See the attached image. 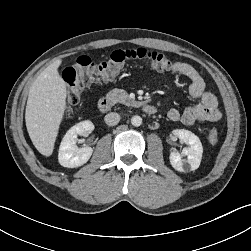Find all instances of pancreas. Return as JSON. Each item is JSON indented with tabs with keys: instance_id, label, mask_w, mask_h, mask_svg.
Wrapping results in <instances>:
<instances>
[{
	"instance_id": "cf45deb5",
	"label": "pancreas",
	"mask_w": 251,
	"mask_h": 251,
	"mask_svg": "<svg viewBox=\"0 0 251 251\" xmlns=\"http://www.w3.org/2000/svg\"><path fill=\"white\" fill-rule=\"evenodd\" d=\"M107 98L113 103H122L126 105H131L133 102L128 93L123 89H113L107 93Z\"/></svg>"
}]
</instances>
